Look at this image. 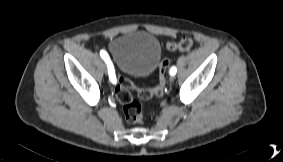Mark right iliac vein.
<instances>
[{
    "label": "right iliac vein",
    "instance_id": "63e3f726",
    "mask_svg": "<svg viewBox=\"0 0 283 162\" xmlns=\"http://www.w3.org/2000/svg\"><path fill=\"white\" fill-rule=\"evenodd\" d=\"M104 71L107 73V67H106V65H104Z\"/></svg>",
    "mask_w": 283,
    "mask_h": 162
}]
</instances>
